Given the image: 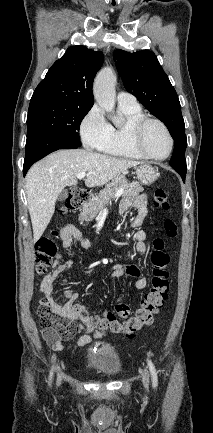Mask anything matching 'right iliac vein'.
Returning <instances> with one entry per match:
<instances>
[{
    "instance_id": "1",
    "label": "right iliac vein",
    "mask_w": 213,
    "mask_h": 433,
    "mask_svg": "<svg viewBox=\"0 0 213 433\" xmlns=\"http://www.w3.org/2000/svg\"><path fill=\"white\" fill-rule=\"evenodd\" d=\"M60 382H61V378L59 377V378H58V383H60Z\"/></svg>"
}]
</instances>
